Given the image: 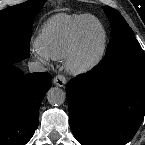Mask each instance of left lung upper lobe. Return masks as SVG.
Listing matches in <instances>:
<instances>
[{
	"instance_id": "obj_1",
	"label": "left lung upper lobe",
	"mask_w": 145,
	"mask_h": 145,
	"mask_svg": "<svg viewBox=\"0 0 145 145\" xmlns=\"http://www.w3.org/2000/svg\"><path fill=\"white\" fill-rule=\"evenodd\" d=\"M103 9L111 23V39L102 64L108 68L125 64H145L144 52L122 15L107 6Z\"/></svg>"
}]
</instances>
